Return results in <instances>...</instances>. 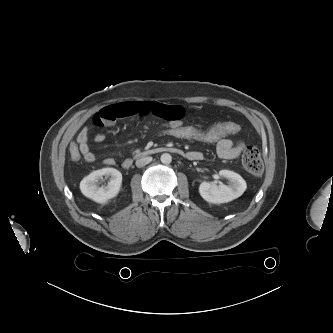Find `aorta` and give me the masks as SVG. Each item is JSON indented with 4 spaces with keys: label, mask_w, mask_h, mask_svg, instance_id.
I'll return each mask as SVG.
<instances>
[{
    "label": "aorta",
    "mask_w": 333,
    "mask_h": 333,
    "mask_svg": "<svg viewBox=\"0 0 333 333\" xmlns=\"http://www.w3.org/2000/svg\"><path fill=\"white\" fill-rule=\"evenodd\" d=\"M160 159L163 164H170L172 162V156L169 153L162 154Z\"/></svg>",
    "instance_id": "1"
}]
</instances>
